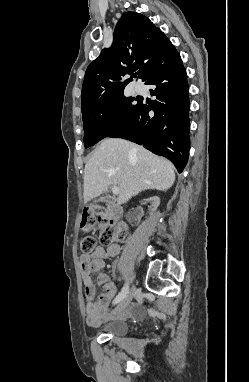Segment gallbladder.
<instances>
[{"instance_id": "1", "label": "gallbladder", "mask_w": 249, "mask_h": 382, "mask_svg": "<svg viewBox=\"0 0 249 382\" xmlns=\"http://www.w3.org/2000/svg\"><path fill=\"white\" fill-rule=\"evenodd\" d=\"M110 199L108 197H101L100 199L96 200V202H109Z\"/></svg>"}]
</instances>
